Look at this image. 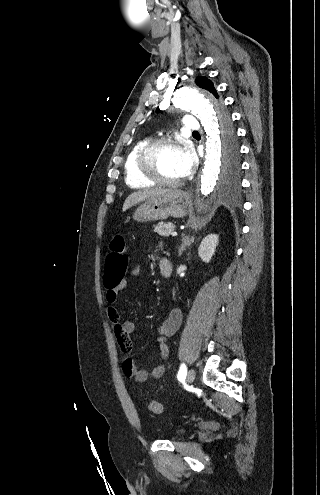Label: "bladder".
<instances>
[{
  "label": "bladder",
  "instance_id": "obj_1",
  "mask_svg": "<svg viewBox=\"0 0 320 495\" xmlns=\"http://www.w3.org/2000/svg\"><path fill=\"white\" fill-rule=\"evenodd\" d=\"M187 432V427L186 426H180L176 429H174L171 433L172 438H179L183 435H185Z\"/></svg>",
  "mask_w": 320,
  "mask_h": 495
}]
</instances>
